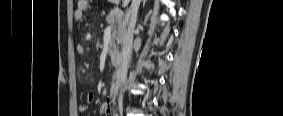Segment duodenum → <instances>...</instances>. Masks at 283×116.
<instances>
[{
    "mask_svg": "<svg viewBox=\"0 0 283 116\" xmlns=\"http://www.w3.org/2000/svg\"><path fill=\"white\" fill-rule=\"evenodd\" d=\"M111 60H112L113 65L116 68L120 67V64H121V53H120V51H118V50L113 51L112 54H111ZM118 85H119V77H118V73H116L114 78H113V81H112L113 89H117Z\"/></svg>",
    "mask_w": 283,
    "mask_h": 116,
    "instance_id": "obj_1",
    "label": "duodenum"
}]
</instances>
